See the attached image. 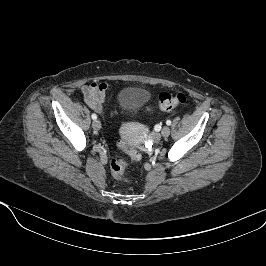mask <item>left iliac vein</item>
I'll return each instance as SVG.
<instances>
[{
    "instance_id": "left-iliac-vein-1",
    "label": "left iliac vein",
    "mask_w": 266,
    "mask_h": 266,
    "mask_svg": "<svg viewBox=\"0 0 266 266\" xmlns=\"http://www.w3.org/2000/svg\"><path fill=\"white\" fill-rule=\"evenodd\" d=\"M161 134L163 137H168L170 135V128L168 126L163 127Z\"/></svg>"
}]
</instances>
